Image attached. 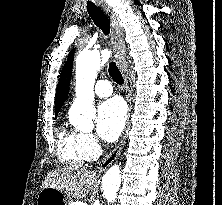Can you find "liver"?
Segmentation results:
<instances>
[{"mask_svg":"<svg viewBox=\"0 0 222 205\" xmlns=\"http://www.w3.org/2000/svg\"><path fill=\"white\" fill-rule=\"evenodd\" d=\"M93 172L72 165L50 172L42 183L43 188H55L63 191L68 198H84L95 187Z\"/></svg>","mask_w":222,"mask_h":205,"instance_id":"obj_1","label":"liver"}]
</instances>
